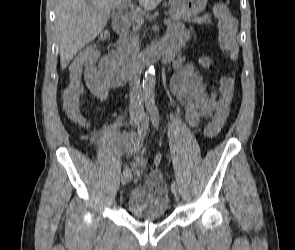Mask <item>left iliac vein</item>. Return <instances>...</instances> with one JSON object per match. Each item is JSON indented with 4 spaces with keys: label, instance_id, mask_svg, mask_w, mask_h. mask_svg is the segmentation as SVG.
Returning a JSON list of instances; mask_svg holds the SVG:
<instances>
[{
    "label": "left iliac vein",
    "instance_id": "1",
    "mask_svg": "<svg viewBox=\"0 0 295 250\" xmlns=\"http://www.w3.org/2000/svg\"><path fill=\"white\" fill-rule=\"evenodd\" d=\"M171 190H172V194H173L174 198H175L176 200H179V194H178V190H177V188H175V189H171Z\"/></svg>",
    "mask_w": 295,
    "mask_h": 250
}]
</instances>
